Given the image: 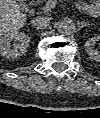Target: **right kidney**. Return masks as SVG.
Here are the masks:
<instances>
[{
  "label": "right kidney",
  "instance_id": "right-kidney-1",
  "mask_svg": "<svg viewBox=\"0 0 100 118\" xmlns=\"http://www.w3.org/2000/svg\"><path fill=\"white\" fill-rule=\"evenodd\" d=\"M29 43L30 37L27 34L14 31L5 36H1L0 54L5 58L15 59L26 52Z\"/></svg>",
  "mask_w": 100,
  "mask_h": 118
}]
</instances>
